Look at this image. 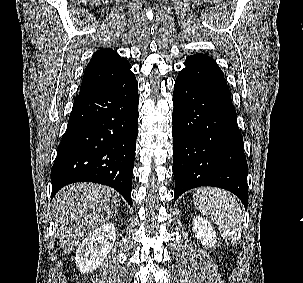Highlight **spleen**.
Instances as JSON below:
<instances>
[{"mask_svg": "<svg viewBox=\"0 0 303 283\" xmlns=\"http://www.w3.org/2000/svg\"><path fill=\"white\" fill-rule=\"evenodd\" d=\"M197 210L210 217L217 225L222 238L236 243L242 233V211L231 193L219 188H199L193 194Z\"/></svg>", "mask_w": 303, "mask_h": 283, "instance_id": "3e777b00", "label": "spleen"}]
</instances>
